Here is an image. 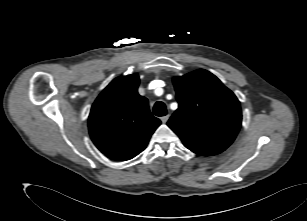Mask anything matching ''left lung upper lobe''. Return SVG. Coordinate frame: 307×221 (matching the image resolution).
<instances>
[{"label":"left lung upper lobe","instance_id":"5c2ea615","mask_svg":"<svg viewBox=\"0 0 307 221\" xmlns=\"http://www.w3.org/2000/svg\"><path fill=\"white\" fill-rule=\"evenodd\" d=\"M173 83L179 108L167 125L193 152H223L241 127L242 113L237 97L204 69L175 77Z\"/></svg>","mask_w":307,"mask_h":221}]
</instances>
